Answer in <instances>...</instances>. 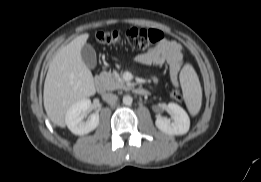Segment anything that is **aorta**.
<instances>
[{
	"mask_svg": "<svg viewBox=\"0 0 261 182\" xmlns=\"http://www.w3.org/2000/svg\"><path fill=\"white\" fill-rule=\"evenodd\" d=\"M133 102V98L129 95L123 97V104L124 105H131Z\"/></svg>",
	"mask_w": 261,
	"mask_h": 182,
	"instance_id": "obj_1",
	"label": "aorta"
}]
</instances>
